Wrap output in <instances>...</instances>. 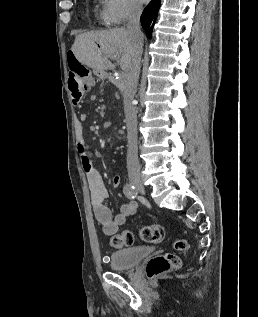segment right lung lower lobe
<instances>
[{
  "label": "right lung lower lobe",
  "instance_id": "1",
  "mask_svg": "<svg viewBox=\"0 0 258 317\" xmlns=\"http://www.w3.org/2000/svg\"><path fill=\"white\" fill-rule=\"evenodd\" d=\"M159 7L160 0H152L141 15V24L148 38L152 36V29L157 18Z\"/></svg>",
  "mask_w": 258,
  "mask_h": 317
}]
</instances>
